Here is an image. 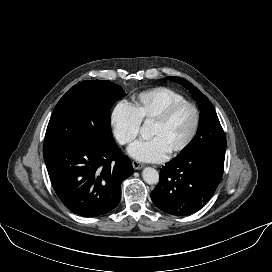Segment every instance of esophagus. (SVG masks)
Here are the masks:
<instances>
[{
	"label": "esophagus",
	"mask_w": 272,
	"mask_h": 272,
	"mask_svg": "<svg viewBox=\"0 0 272 272\" xmlns=\"http://www.w3.org/2000/svg\"><path fill=\"white\" fill-rule=\"evenodd\" d=\"M132 165H133V168H134L135 170H139V169H142V168L144 167L143 164H141V163H139V162H137V161H133V162H132Z\"/></svg>",
	"instance_id": "34e87169"
}]
</instances>
